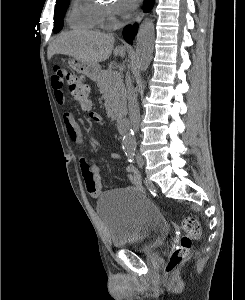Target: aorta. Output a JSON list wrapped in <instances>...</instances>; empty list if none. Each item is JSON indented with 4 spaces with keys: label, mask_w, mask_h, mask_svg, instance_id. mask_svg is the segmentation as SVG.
I'll use <instances>...</instances> for the list:
<instances>
[{
    "label": "aorta",
    "mask_w": 245,
    "mask_h": 300,
    "mask_svg": "<svg viewBox=\"0 0 245 300\" xmlns=\"http://www.w3.org/2000/svg\"><path fill=\"white\" fill-rule=\"evenodd\" d=\"M136 55L139 68L146 71L152 59L154 44V24L150 19H145L139 28L136 39ZM136 140L134 132L131 130L123 138V147L126 150H132L135 147Z\"/></svg>",
    "instance_id": "aorta-1"
}]
</instances>
